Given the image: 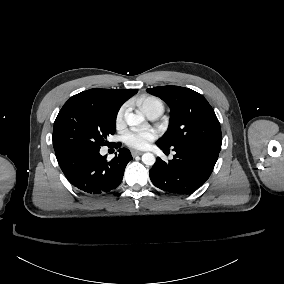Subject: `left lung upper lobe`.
Segmentation results:
<instances>
[{
	"label": "left lung upper lobe",
	"mask_w": 284,
	"mask_h": 284,
	"mask_svg": "<svg viewBox=\"0 0 284 284\" xmlns=\"http://www.w3.org/2000/svg\"><path fill=\"white\" fill-rule=\"evenodd\" d=\"M147 92L164 100L171 109L168 131L158 142L168 147L194 145L220 152V124L201 94L179 86H159Z\"/></svg>",
	"instance_id": "1"
}]
</instances>
